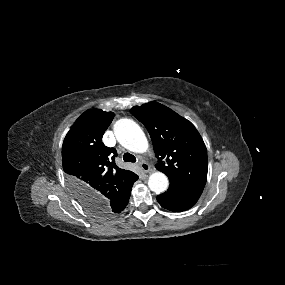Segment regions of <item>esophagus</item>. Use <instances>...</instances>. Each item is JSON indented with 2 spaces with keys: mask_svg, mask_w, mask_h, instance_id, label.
I'll use <instances>...</instances> for the list:
<instances>
[{
  "mask_svg": "<svg viewBox=\"0 0 285 285\" xmlns=\"http://www.w3.org/2000/svg\"><path fill=\"white\" fill-rule=\"evenodd\" d=\"M139 166H140L141 170L145 173H149L151 171L149 164H147L146 162H140Z\"/></svg>",
  "mask_w": 285,
  "mask_h": 285,
  "instance_id": "1",
  "label": "esophagus"
}]
</instances>
